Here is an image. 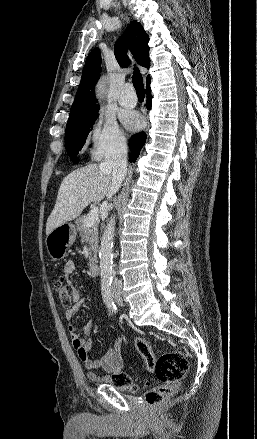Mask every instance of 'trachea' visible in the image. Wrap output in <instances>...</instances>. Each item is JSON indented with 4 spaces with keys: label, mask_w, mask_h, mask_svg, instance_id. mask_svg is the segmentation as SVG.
I'll return each instance as SVG.
<instances>
[{
    "label": "trachea",
    "mask_w": 257,
    "mask_h": 439,
    "mask_svg": "<svg viewBox=\"0 0 257 439\" xmlns=\"http://www.w3.org/2000/svg\"><path fill=\"white\" fill-rule=\"evenodd\" d=\"M132 79H133V86L136 90L137 95L144 96L145 90L143 85V78L137 67L134 68Z\"/></svg>",
    "instance_id": "1"
}]
</instances>
